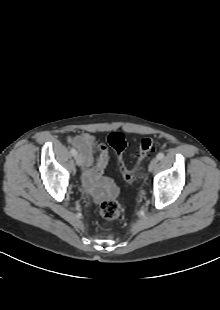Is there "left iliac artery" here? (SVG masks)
Segmentation results:
<instances>
[{"mask_svg": "<svg viewBox=\"0 0 220 310\" xmlns=\"http://www.w3.org/2000/svg\"><path fill=\"white\" fill-rule=\"evenodd\" d=\"M163 158H164V153L163 152H160V153L157 154V159L158 160H161Z\"/></svg>", "mask_w": 220, "mask_h": 310, "instance_id": "1", "label": "left iliac artery"}]
</instances>
